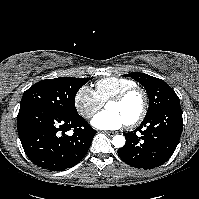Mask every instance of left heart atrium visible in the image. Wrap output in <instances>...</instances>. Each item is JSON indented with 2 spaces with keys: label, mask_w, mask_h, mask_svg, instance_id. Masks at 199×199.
<instances>
[{
  "label": "left heart atrium",
  "mask_w": 199,
  "mask_h": 199,
  "mask_svg": "<svg viewBox=\"0 0 199 199\" xmlns=\"http://www.w3.org/2000/svg\"><path fill=\"white\" fill-rule=\"evenodd\" d=\"M92 125L101 130H117L124 125L126 121L116 112L104 111L92 119Z\"/></svg>",
  "instance_id": "39dd6f15"
}]
</instances>
